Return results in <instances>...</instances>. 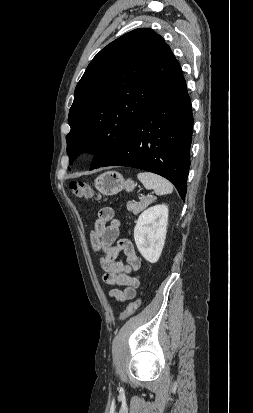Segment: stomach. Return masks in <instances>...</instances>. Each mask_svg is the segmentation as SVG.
Listing matches in <instances>:
<instances>
[{"mask_svg": "<svg viewBox=\"0 0 253 413\" xmlns=\"http://www.w3.org/2000/svg\"><path fill=\"white\" fill-rule=\"evenodd\" d=\"M94 184L95 188L105 196L116 195L122 190L131 192L136 187L133 180H125L124 177L116 171H108L99 175L95 179Z\"/></svg>", "mask_w": 253, "mask_h": 413, "instance_id": "obj_1", "label": "stomach"}]
</instances>
